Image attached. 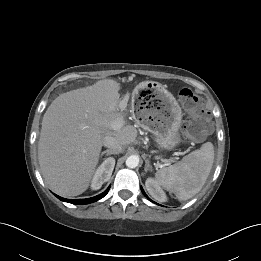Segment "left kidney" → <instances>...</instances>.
I'll return each mask as SVG.
<instances>
[{
	"label": "left kidney",
	"mask_w": 261,
	"mask_h": 261,
	"mask_svg": "<svg viewBox=\"0 0 261 261\" xmlns=\"http://www.w3.org/2000/svg\"><path fill=\"white\" fill-rule=\"evenodd\" d=\"M148 193L159 202H166L167 197L165 192L160 187L159 183L154 178H147L145 182Z\"/></svg>",
	"instance_id": "1"
}]
</instances>
